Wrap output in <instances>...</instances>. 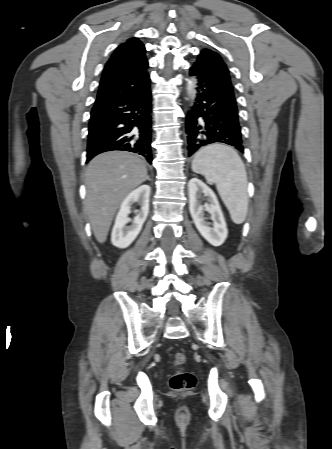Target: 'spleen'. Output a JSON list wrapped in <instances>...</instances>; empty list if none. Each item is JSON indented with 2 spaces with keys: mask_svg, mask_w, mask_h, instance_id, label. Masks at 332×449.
I'll return each mask as SVG.
<instances>
[{
  "mask_svg": "<svg viewBox=\"0 0 332 449\" xmlns=\"http://www.w3.org/2000/svg\"><path fill=\"white\" fill-rule=\"evenodd\" d=\"M192 170L216 185L232 221L243 223L248 212L247 173L238 153L226 145H209L196 153Z\"/></svg>",
  "mask_w": 332,
  "mask_h": 449,
  "instance_id": "3e777b00",
  "label": "spleen"
}]
</instances>
